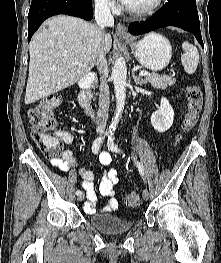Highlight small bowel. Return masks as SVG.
Returning <instances> with one entry per match:
<instances>
[{
	"instance_id": "small-bowel-1",
	"label": "small bowel",
	"mask_w": 221,
	"mask_h": 263,
	"mask_svg": "<svg viewBox=\"0 0 221 263\" xmlns=\"http://www.w3.org/2000/svg\"><path fill=\"white\" fill-rule=\"evenodd\" d=\"M61 136L65 144L71 145L73 143V135L70 132L64 131L61 133ZM99 161L102 165L109 166L112 162V157L109 153L102 152L99 155ZM50 163L52 166L57 167L64 172H68L71 168L78 165L76 157L69 148L63 152L61 159H52ZM79 175L82 179V186L86 191L87 197V200L83 206L84 211L88 214H94L96 212L95 203L97 200L94 190V174L89 170L80 169ZM118 182L119 178L116 169L109 168L107 171H105L99 185L100 194L107 198V202L100 210L102 213H109L115 211L118 208V200L113 190V186Z\"/></svg>"
}]
</instances>
